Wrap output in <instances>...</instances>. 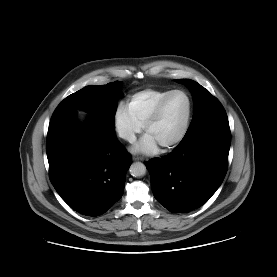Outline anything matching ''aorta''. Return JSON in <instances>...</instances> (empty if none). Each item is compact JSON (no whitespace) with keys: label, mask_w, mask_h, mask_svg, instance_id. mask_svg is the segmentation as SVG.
<instances>
[{"label":"aorta","mask_w":277,"mask_h":277,"mask_svg":"<svg viewBox=\"0 0 277 277\" xmlns=\"http://www.w3.org/2000/svg\"><path fill=\"white\" fill-rule=\"evenodd\" d=\"M130 174L134 177H141L146 174V167L141 162H135L130 166Z\"/></svg>","instance_id":"obj_1"}]
</instances>
